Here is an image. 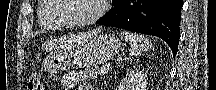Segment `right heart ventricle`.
Segmentation results:
<instances>
[{
  "instance_id": "1",
  "label": "right heart ventricle",
  "mask_w": 216,
  "mask_h": 90,
  "mask_svg": "<svg viewBox=\"0 0 216 90\" xmlns=\"http://www.w3.org/2000/svg\"><path fill=\"white\" fill-rule=\"evenodd\" d=\"M52 7H55V2H50V0L40 2V6L36 7V10H40V15L38 16V25L41 29H57V26L50 23L47 18L41 15L53 14Z\"/></svg>"
}]
</instances>
